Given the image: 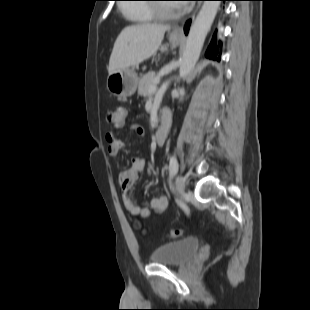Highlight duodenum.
<instances>
[{
	"label": "duodenum",
	"mask_w": 310,
	"mask_h": 310,
	"mask_svg": "<svg viewBox=\"0 0 310 310\" xmlns=\"http://www.w3.org/2000/svg\"><path fill=\"white\" fill-rule=\"evenodd\" d=\"M171 130V121L167 110L161 112V123L155 134V140L158 145H162L168 137Z\"/></svg>",
	"instance_id": "1"
}]
</instances>
